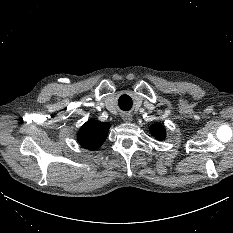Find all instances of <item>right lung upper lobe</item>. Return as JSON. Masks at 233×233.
<instances>
[{
  "label": "right lung upper lobe",
  "instance_id": "1",
  "mask_svg": "<svg viewBox=\"0 0 233 233\" xmlns=\"http://www.w3.org/2000/svg\"><path fill=\"white\" fill-rule=\"evenodd\" d=\"M109 128V123L90 120L78 132V141L86 149L97 150L105 141Z\"/></svg>",
  "mask_w": 233,
  "mask_h": 233
}]
</instances>
